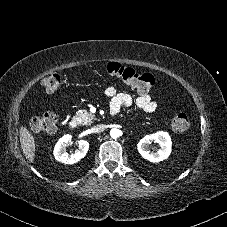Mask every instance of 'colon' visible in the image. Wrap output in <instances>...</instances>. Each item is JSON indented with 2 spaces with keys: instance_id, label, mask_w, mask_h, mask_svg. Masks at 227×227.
Returning a JSON list of instances; mask_svg holds the SVG:
<instances>
[{
  "instance_id": "colon-1",
  "label": "colon",
  "mask_w": 227,
  "mask_h": 227,
  "mask_svg": "<svg viewBox=\"0 0 227 227\" xmlns=\"http://www.w3.org/2000/svg\"><path fill=\"white\" fill-rule=\"evenodd\" d=\"M105 71L108 75L119 79L125 85L135 89L139 93L148 92L154 84V77L149 73H140L132 68H126L117 62H110L106 65ZM62 84V75L52 73L42 80V86L47 92H56ZM58 122V115L48 112L31 119V127L38 133H51L55 130ZM171 126L174 131L183 132L189 127V118L186 113L179 112L172 119Z\"/></svg>"
}]
</instances>
